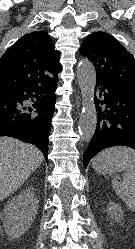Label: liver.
Wrapping results in <instances>:
<instances>
[{
  "mask_svg": "<svg viewBox=\"0 0 135 249\" xmlns=\"http://www.w3.org/2000/svg\"><path fill=\"white\" fill-rule=\"evenodd\" d=\"M43 160L34 145L0 137V201L16 192Z\"/></svg>",
  "mask_w": 135,
  "mask_h": 249,
  "instance_id": "obj_1",
  "label": "liver"
}]
</instances>
